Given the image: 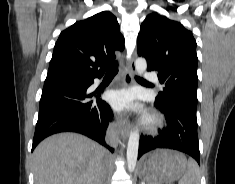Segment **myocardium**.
Listing matches in <instances>:
<instances>
[{"label":"myocardium","mask_w":235,"mask_h":184,"mask_svg":"<svg viewBox=\"0 0 235 184\" xmlns=\"http://www.w3.org/2000/svg\"><path fill=\"white\" fill-rule=\"evenodd\" d=\"M162 124V118L158 113L150 112L141 121L142 131L152 134L159 130Z\"/></svg>","instance_id":"f54148a6"}]
</instances>
